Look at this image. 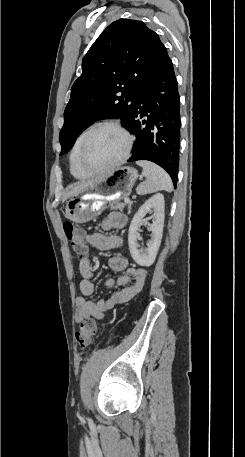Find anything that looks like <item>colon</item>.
Segmentation results:
<instances>
[{"mask_svg":"<svg viewBox=\"0 0 245 457\" xmlns=\"http://www.w3.org/2000/svg\"><path fill=\"white\" fill-rule=\"evenodd\" d=\"M63 229L73 251L80 257L88 254V245L82 231L78 230L71 222L66 221ZM98 330L97 322L88 318L83 320L76 331V341L81 348H86L91 344L93 336Z\"/></svg>","mask_w":245,"mask_h":457,"instance_id":"obj_1","label":"colon"}]
</instances>
